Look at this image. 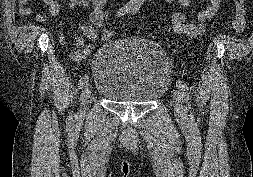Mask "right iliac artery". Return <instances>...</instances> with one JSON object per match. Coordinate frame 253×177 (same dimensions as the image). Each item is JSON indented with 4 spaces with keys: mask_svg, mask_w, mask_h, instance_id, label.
I'll list each match as a JSON object with an SVG mask.
<instances>
[{
    "mask_svg": "<svg viewBox=\"0 0 253 177\" xmlns=\"http://www.w3.org/2000/svg\"><path fill=\"white\" fill-rule=\"evenodd\" d=\"M132 10H134L133 5L127 4L124 7L120 8V10L117 12L116 16L117 17L123 16V15H125L126 13H128ZM88 81H89V76L88 75L82 76L80 78L79 82H78V88L79 89L84 88V86L87 85Z\"/></svg>",
    "mask_w": 253,
    "mask_h": 177,
    "instance_id": "obj_1",
    "label": "right iliac artery"
}]
</instances>
